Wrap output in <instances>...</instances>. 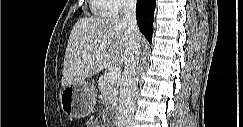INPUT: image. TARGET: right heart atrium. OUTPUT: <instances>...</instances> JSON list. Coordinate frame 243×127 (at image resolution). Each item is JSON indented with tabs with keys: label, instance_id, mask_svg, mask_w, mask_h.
<instances>
[{
	"label": "right heart atrium",
	"instance_id": "1",
	"mask_svg": "<svg viewBox=\"0 0 243 127\" xmlns=\"http://www.w3.org/2000/svg\"><path fill=\"white\" fill-rule=\"evenodd\" d=\"M113 3L112 14L114 16L123 15L134 5L133 0H110Z\"/></svg>",
	"mask_w": 243,
	"mask_h": 127
}]
</instances>
